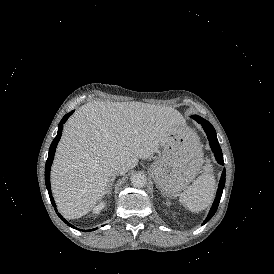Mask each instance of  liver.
Listing matches in <instances>:
<instances>
[{"instance_id":"6515ba94","label":"liver","mask_w":274,"mask_h":274,"mask_svg":"<svg viewBox=\"0 0 274 274\" xmlns=\"http://www.w3.org/2000/svg\"><path fill=\"white\" fill-rule=\"evenodd\" d=\"M186 127L172 107L136 101L81 106L64 125L51 168L58 209L67 219L86 215L122 167L125 173L133 169L139 159L156 153L172 132H185Z\"/></svg>"}]
</instances>
